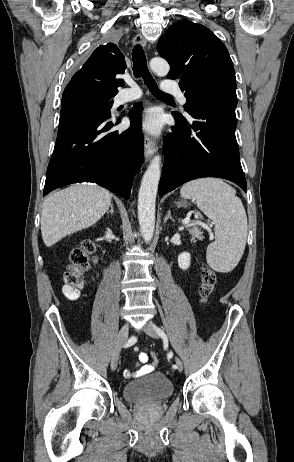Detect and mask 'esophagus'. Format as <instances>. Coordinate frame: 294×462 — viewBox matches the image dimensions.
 Here are the masks:
<instances>
[{
  "label": "esophagus",
  "instance_id": "esophagus-1",
  "mask_svg": "<svg viewBox=\"0 0 294 462\" xmlns=\"http://www.w3.org/2000/svg\"><path fill=\"white\" fill-rule=\"evenodd\" d=\"M132 43L133 45L145 46L147 44V40L141 34H137L134 37ZM155 151H156V147H155L154 140H152L148 135H145L144 136V154H145L146 160H149Z\"/></svg>",
  "mask_w": 294,
  "mask_h": 462
}]
</instances>
